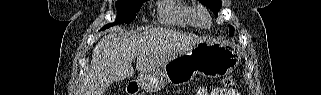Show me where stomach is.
<instances>
[{"label":"stomach","instance_id":"1","mask_svg":"<svg viewBox=\"0 0 321 95\" xmlns=\"http://www.w3.org/2000/svg\"><path fill=\"white\" fill-rule=\"evenodd\" d=\"M237 63L230 46L217 41L203 40L190 51L174 57L153 72H142L136 81L140 90L157 91L166 84L183 85L197 74L221 77L229 74Z\"/></svg>","mask_w":321,"mask_h":95}]
</instances>
